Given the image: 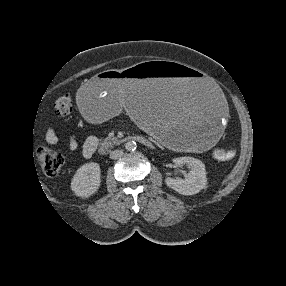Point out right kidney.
<instances>
[{"instance_id":"ca27d5eb","label":"right kidney","mask_w":286,"mask_h":286,"mask_svg":"<svg viewBox=\"0 0 286 286\" xmlns=\"http://www.w3.org/2000/svg\"><path fill=\"white\" fill-rule=\"evenodd\" d=\"M100 183V166L98 163L90 162L78 168L72 178L71 189L79 197H88L99 189Z\"/></svg>"}]
</instances>
